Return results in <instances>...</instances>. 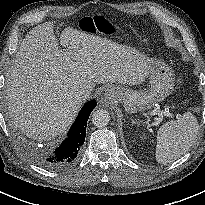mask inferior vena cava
Returning a JSON list of instances; mask_svg holds the SVG:
<instances>
[{"label":"inferior vena cava","mask_w":205,"mask_h":205,"mask_svg":"<svg viewBox=\"0 0 205 205\" xmlns=\"http://www.w3.org/2000/svg\"><path fill=\"white\" fill-rule=\"evenodd\" d=\"M92 90L90 88L78 89L75 92V99L79 102L85 101L91 95Z\"/></svg>","instance_id":"1"}]
</instances>
